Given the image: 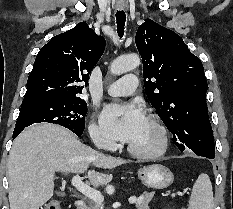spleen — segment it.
Segmentation results:
<instances>
[{
	"instance_id": "obj_1",
	"label": "spleen",
	"mask_w": 233,
	"mask_h": 209,
	"mask_svg": "<svg viewBox=\"0 0 233 209\" xmlns=\"http://www.w3.org/2000/svg\"><path fill=\"white\" fill-rule=\"evenodd\" d=\"M188 209H214L212 184L207 174H200L193 185Z\"/></svg>"
}]
</instances>
